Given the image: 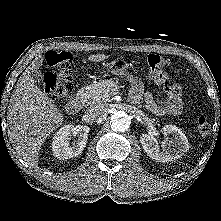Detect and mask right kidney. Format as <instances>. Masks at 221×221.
I'll return each mask as SVG.
<instances>
[{
	"label": "right kidney",
	"mask_w": 221,
	"mask_h": 221,
	"mask_svg": "<svg viewBox=\"0 0 221 221\" xmlns=\"http://www.w3.org/2000/svg\"><path fill=\"white\" fill-rule=\"evenodd\" d=\"M89 130L90 128L84 125L68 124L61 127L52 138L54 156L64 160L81 154L86 146ZM76 136V143L70 145V140Z\"/></svg>",
	"instance_id": "ca27d5eb"
}]
</instances>
